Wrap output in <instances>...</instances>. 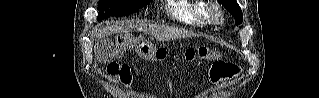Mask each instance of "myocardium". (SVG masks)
<instances>
[{
  "mask_svg": "<svg viewBox=\"0 0 319 98\" xmlns=\"http://www.w3.org/2000/svg\"><path fill=\"white\" fill-rule=\"evenodd\" d=\"M208 19L213 23H220L223 20L222 9L217 5L213 4L206 11Z\"/></svg>",
  "mask_w": 319,
  "mask_h": 98,
  "instance_id": "1",
  "label": "myocardium"
}]
</instances>
